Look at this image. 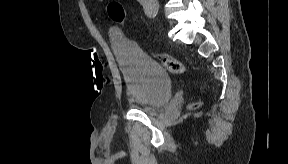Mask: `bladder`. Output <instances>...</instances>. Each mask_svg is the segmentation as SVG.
Here are the masks:
<instances>
[{
    "mask_svg": "<svg viewBox=\"0 0 288 164\" xmlns=\"http://www.w3.org/2000/svg\"><path fill=\"white\" fill-rule=\"evenodd\" d=\"M111 41L116 58L121 64L127 95L133 107L151 114L167 105L172 89L164 68L120 35L112 34Z\"/></svg>",
    "mask_w": 288,
    "mask_h": 164,
    "instance_id": "1",
    "label": "bladder"
}]
</instances>
